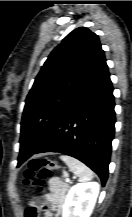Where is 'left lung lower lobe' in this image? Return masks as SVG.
Returning <instances> with one entry per match:
<instances>
[{
  "label": "left lung lower lobe",
  "mask_w": 132,
  "mask_h": 217,
  "mask_svg": "<svg viewBox=\"0 0 132 217\" xmlns=\"http://www.w3.org/2000/svg\"><path fill=\"white\" fill-rule=\"evenodd\" d=\"M114 106L113 87L105 61L33 152L26 151L20 139L18 167L33 154L59 152L85 163L104 185L115 130Z\"/></svg>",
  "instance_id": "0a47b994"
}]
</instances>
